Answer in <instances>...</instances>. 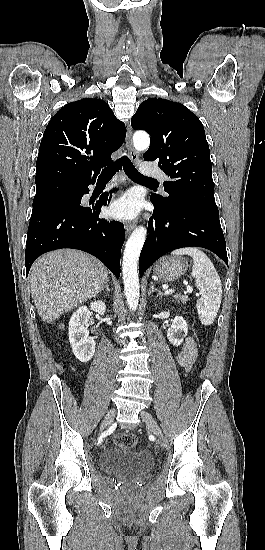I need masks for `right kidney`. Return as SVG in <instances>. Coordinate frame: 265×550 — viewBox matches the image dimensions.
Here are the masks:
<instances>
[{"mask_svg": "<svg viewBox=\"0 0 265 550\" xmlns=\"http://www.w3.org/2000/svg\"><path fill=\"white\" fill-rule=\"evenodd\" d=\"M90 307L99 314L106 311L105 303L102 300L94 301ZM90 319V310L86 306L78 308L69 321V342L75 357L82 363L91 360L95 353L96 342L89 337L87 324Z\"/></svg>", "mask_w": 265, "mask_h": 550, "instance_id": "right-kidney-1", "label": "right kidney"}]
</instances>
